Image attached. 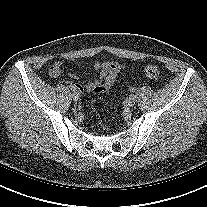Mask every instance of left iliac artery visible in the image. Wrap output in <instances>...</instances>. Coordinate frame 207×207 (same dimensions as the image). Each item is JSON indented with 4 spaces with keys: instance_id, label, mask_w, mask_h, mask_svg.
Wrapping results in <instances>:
<instances>
[{
    "instance_id": "44dca946",
    "label": "left iliac artery",
    "mask_w": 207,
    "mask_h": 207,
    "mask_svg": "<svg viewBox=\"0 0 207 207\" xmlns=\"http://www.w3.org/2000/svg\"><path fill=\"white\" fill-rule=\"evenodd\" d=\"M135 90H136L135 87H131V88H130V91H131V92H134Z\"/></svg>"
}]
</instances>
